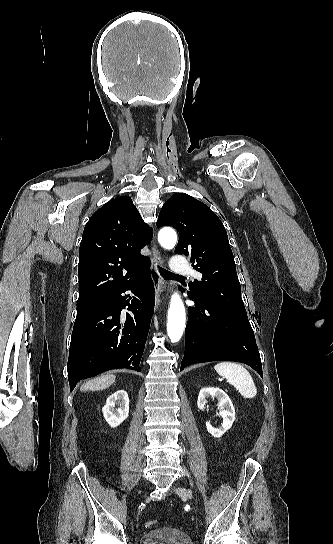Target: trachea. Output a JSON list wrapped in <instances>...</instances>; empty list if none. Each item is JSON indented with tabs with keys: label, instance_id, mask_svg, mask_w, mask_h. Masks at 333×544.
I'll list each match as a JSON object with an SVG mask.
<instances>
[{
	"label": "trachea",
	"instance_id": "trachea-1",
	"mask_svg": "<svg viewBox=\"0 0 333 544\" xmlns=\"http://www.w3.org/2000/svg\"><path fill=\"white\" fill-rule=\"evenodd\" d=\"M159 272L164 279L182 278L183 276L173 274L165 269L159 268Z\"/></svg>",
	"mask_w": 333,
	"mask_h": 544
}]
</instances>
